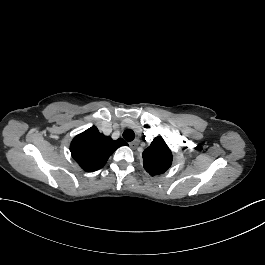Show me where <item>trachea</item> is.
Wrapping results in <instances>:
<instances>
[{
  "label": "trachea",
  "instance_id": "obj_1",
  "mask_svg": "<svg viewBox=\"0 0 265 265\" xmlns=\"http://www.w3.org/2000/svg\"><path fill=\"white\" fill-rule=\"evenodd\" d=\"M123 137L126 141H132L135 137V133L133 130L131 129H126L124 132H123Z\"/></svg>",
  "mask_w": 265,
  "mask_h": 265
}]
</instances>
